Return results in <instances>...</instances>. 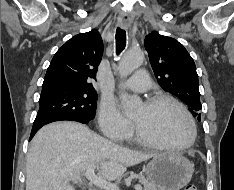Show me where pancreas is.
<instances>
[{"label":"pancreas","mask_w":234,"mask_h":190,"mask_svg":"<svg viewBox=\"0 0 234 190\" xmlns=\"http://www.w3.org/2000/svg\"><path fill=\"white\" fill-rule=\"evenodd\" d=\"M139 183L143 185L144 190H158L153 184H151L143 175L136 176Z\"/></svg>","instance_id":"pancreas-1"}]
</instances>
